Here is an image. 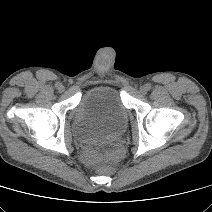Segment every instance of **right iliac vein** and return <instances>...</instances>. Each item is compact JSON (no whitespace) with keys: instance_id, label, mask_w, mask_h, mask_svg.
Segmentation results:
<instances>
[{"instance_id":"63e3f726","label":"right iliac vein","mask_w":212,"mask_h":212,"mask_svg":"<svg viewBox=\"0 0 212 212\" xmlns=\"http://www.w3.org/2000/svg\"><path fill=\"white\" fill-rule=\"evenodd\" d=\"M58 91L60 93L64 92V86L60 84V86L58 87Z\"/></svg>"}]
</instances>
